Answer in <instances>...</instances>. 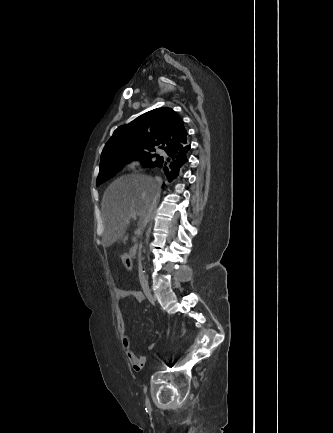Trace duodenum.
<instances>
[{"label":"duodenum","mask_w":333,"mask_h":433,"mask_svg":"<svg viewBox=\"0 0 333 433\" xmlns=\"http://www.w3.org/2000/svg\"><path fill=\"white\" fill-rule=\"evenodd\" d=\"M134 252H136V247H130V251H129L130 258H135Z\"/></svg>","instance_id":"duodenum-1"}]
</instances>
